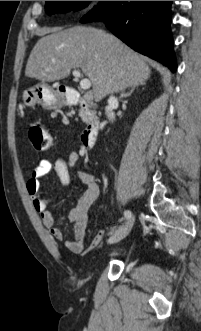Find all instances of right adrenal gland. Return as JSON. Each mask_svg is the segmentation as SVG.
I'll list each match as a JSON object with an SVG mask.
<instances>
[{
    "label": "right adrenal gland",
    "mask_w": 201,
    "mask_h": 331,
    "mask_svg": "<svg viewBox=\"0 0 201 331\" xmlns=\"http://www.w3.org/2000/svg\"><path fill=\"white\" fill-rule=\"evenodd\" d=\"M145 83H142V85H144ZM135 88H136V86H133V87H131V89H129L128 91H123L122 93H121V95H120V99L121 98H126V97H128V96H130L132 93H133V91L135 90Z\"/></svg>",
    "instance_id": "2a0ac1e0"
}]
</instances>
